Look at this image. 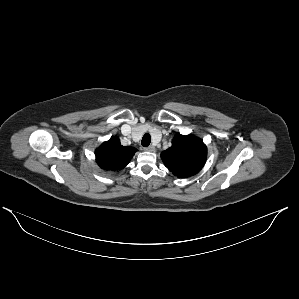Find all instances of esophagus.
<instances>
[{
    "label": "esophagus",
    "mask_w": 299,
    "mask_h": 299,
    "mask_svg": "<svg viewBox=\"0 0 299 299\" xmlns=\"http://www.w3.org/2000/svg\"><path fill=\"white\" fill-rule=\"evenodd\" d=\"M144 150L149 151V152H153L155 150L154 146L150 145L148 147H145Z\"/></svg>",
    "instance_id": "34e87169"
}]
</instances>
